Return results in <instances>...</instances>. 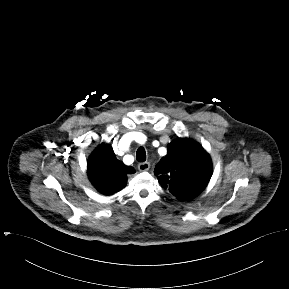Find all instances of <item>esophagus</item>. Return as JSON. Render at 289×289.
Here are the masks:
<instances>
[{
	"label": "esophagus",
	"instance_id": "obj_1",
	"mask_svg": "<svg viewBox=\"0 0 289 289\" xmlns=\"http://www.w3.org/2000/svg\"><path fill=\"white\" fill-rule=\"evenodd\" d=\"M150 168V163L149 162H141L138 164V169L140 171H147Z\"/></svg>",
	"mask_w": 289,
	"mask_h": 289
}]
</instances>
